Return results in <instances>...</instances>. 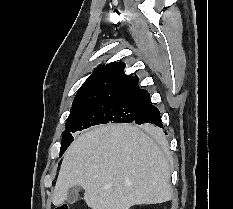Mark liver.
I'll return each instance as SVG.
<instances>
[{"label": "liver", "mask_w": 233, "mask_h": 209, "mask_svg": "<svg viewBox=\"0 0 233 209\" xmlns=\"http://www.w3.org/2000/svg\"><path fill=\"white\" fill-rule=\"evenodd\" d=\"M150 133L160 136L157 127ZM79 185L91 209H129L172 198L169 162L156 142L136 125L108 124L82 133L66 151L52 202H65Z\"/></svg>", "instance_id": "1"}]
</instances>
